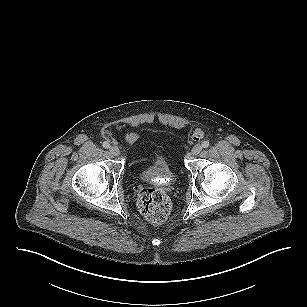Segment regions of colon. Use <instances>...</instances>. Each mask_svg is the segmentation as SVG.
Segmentation results:
<instances>
[{"label": "colon", "mask_w": 307, "mask_h": 307, "mask_svg": "<svg viewBox=\"0 0 307 307\" xmlns=\"http://www.w3.org/2000/svg\"><path fill=\"white\" fill-rule=\"evenodd\" d=\"M137 206L140 213L150 222L161 223L171 213V202L160 188L145 187L138 194Z\"/></svg>", "instance_id": "1"}]
</instances>
